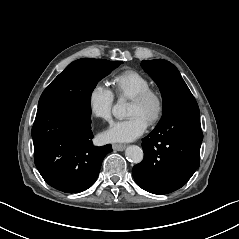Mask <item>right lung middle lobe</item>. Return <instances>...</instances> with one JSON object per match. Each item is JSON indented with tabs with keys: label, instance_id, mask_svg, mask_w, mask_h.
Instances as JSON below:
<instances>
[{
	"label": "right lung middle lobe",
	"instance_id": "right-lung-middle-lobe-1",
	"mask_svg": "<svg viewBox=\"0 0 239 239\" xmlns=\"http://www.w3.org/2000/svg\"><path fill=\"white\" fill-rule=\"evenodd\" d=\"M121 61L83 58L69 64L43 91L38 107L63 99H81L90 105L97 83L118 67Z\"/></svg>",
	"mask_w": 239,
	"mask_h": 239
}]
</instances>
